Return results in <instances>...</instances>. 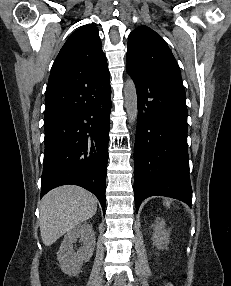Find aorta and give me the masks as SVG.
Listing matches in <instances>:
<instances>
[{"mask_svg": "<svg viewBox=\"0 0 231 286\" xmlns=\"http://www.w3.org/2000/svg\"><path fill=\"white\" fill-rule=\"evenodd\" d=\"M124 99L129 123L131 126H135L138 116V101L136 87L131 78H128L125 82Z\"/></svg>", "mask_w": 231, "mask_h": 286, "instance_id": "1", "label": "aorta"}]
</instances>
